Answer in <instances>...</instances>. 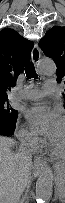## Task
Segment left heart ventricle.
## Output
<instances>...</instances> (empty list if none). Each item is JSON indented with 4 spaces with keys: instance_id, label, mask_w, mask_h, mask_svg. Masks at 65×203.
Masks as SVG:
<instances>
[{
    "instance_id": "left-heart-ventricle-1",
    "label": "left heart ventricle",
    "mask_w": 65,
    "mask_h": 203,
    "mask_svg": "<svg viewBox=\"0 0 65 203\" xmlns=\"http://www.w3.org/2000/svg\"><path fill=\"white\" fill-rule=\"evenodd\" d=\"M51 144L60 153L65 150V125H63L61 130L51 139Z\"/></svg>"
}]
</instances>
